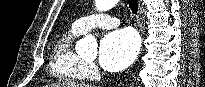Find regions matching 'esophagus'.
<instances>
[{
	"label": "esophagus",
	"mask_w": 205,
	"mask_h": 87,
	"mask_svg": "<svg viewBox=\"0 0 205 87\" xmlns=\"http://www.w3.org/2000/svg\"><path fill=\"white\" fill-rule=\"evenodd\" d=\"M138 3H139V6H140V4H141V0H138Z\"/></svg>",
	"instance_id": "1"
}]
</instances>
